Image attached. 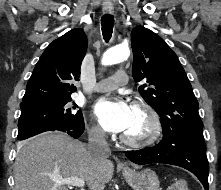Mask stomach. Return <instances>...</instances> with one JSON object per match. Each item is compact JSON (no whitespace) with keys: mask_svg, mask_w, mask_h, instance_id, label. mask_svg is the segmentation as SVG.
Here are the masks:
<instances>
[{"mask_svg":"<svg viewBox=\"0 0 221 190\" xmlns=\"http://www.w3.org/2000/svg\"><path fill=\"white\" fill-rule=\"evenodd\" d=\"M123 176L133 190H159L158 176L151 169L135 171L134 169L124 168Z\"/></svg>","mask_w":221,"mask_h":190,"instance_id":"obj_1","label":"stomach"}]
</instances>
